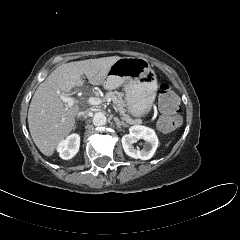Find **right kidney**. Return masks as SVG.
<instances>
[{
    "label": "right kidney",
    "instance_id": "right-kidney-1",
    "mask_svg": "<svg viewBox=\"0 0 240 240\" xmlns=\"http://www.w3.org/2000/svg\"><path fill=\"white\" fill-rule=\"evenodd\" d=\"M79 147L80 136L74 133L59 143L57 151L62 159L68 160L76 155V153L79 151Z\"/></svg>",
    "mask_w": 240,
    "mask_h": 240
}]
</instances>
